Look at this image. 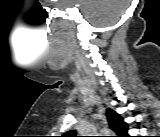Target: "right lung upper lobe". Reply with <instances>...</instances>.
Instances as JSON below:
<instances>
[{"label": "right lung upper lobe", "mask_w": 160, "mask_h": 137, "mask_svg": "<svg viewBox=\"0 0 160 137\" xmlns=\"http://www.w3.org/2000/svg\"><path fill=\"white\" fill-rule=\"evenodd\" d=\"M106 116L109 122V127L119 136L124 137L127 134L128 126L123 118L112 109L108 108Z\"/></svg>", "instance_id": "right-lung-upper-lobe-1"}]
</instances>
